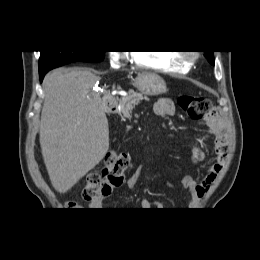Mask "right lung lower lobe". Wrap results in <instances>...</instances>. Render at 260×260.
Masks as SVG:
<instances>
[{"mask_svg":"<svg viewBox=\"0 0 260 260\" xmlns=\"http://www.w3.org/2000/svg\"><path fill=\"white\" fill-rule=\"evenodd\" d=\"M45 74H46V73H41V74H39V75H40V81H41V82H42V80H43Z\"/></svg>","mask_w":260,"mask_h":260,"instance_id":"98d812e1","label":"right lung lower lobe"}]
</instances>
